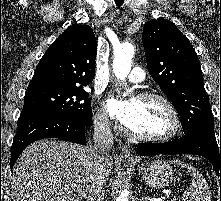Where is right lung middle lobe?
I'll return each mask as SVG.
<instances>
[{
  "label": "right lung middle lobe",
  "mask_w": 221,
  "mask_h": 201,
  "mask_svg": "<svg viewBox=\"0 0 221 201\" xmlns=\"http://www.w3.org/2000/svg\"><path fill=\"white\" fill-rule=\"evenodd\" d=\"M35 111L71 116L87 124L92 123L91 101L82 88H27L21 114Z\"/></svg>",
  "instance_id": "right-lung-middle-lobe-1"
}]
</instances>
